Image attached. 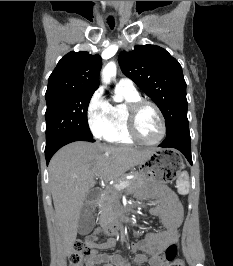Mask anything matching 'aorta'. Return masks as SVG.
I'll return each mask as SVG.
<instances>
[{"instance_id": "1", "label": "aorta", "mask_w": 233, "mask_h": 266, "mask_svg": "<svg viewBox=\"0 0 233 266\" xmlns=\"http://www.w3.org/2000/svg\"><path fill=\"white\" fill-rule=\"evenodd\" d=\"M116 64L114 62H109L102 70V82L104 84H109L113 78L116 77ZM114 101L119 102L121 98L114 97Z\"/></svg>"}]
</instances>
